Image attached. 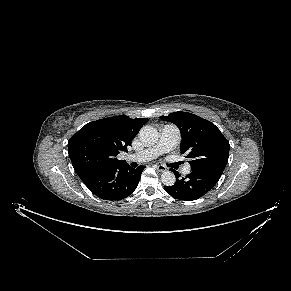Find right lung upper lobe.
I'll use <instances>...</instances> for the list:
<instances>
[{
  "mask_svg": "<svg viewBox=\"0 0 291 291\" xmlns=\"http://www.w3.org/2000/svg\"><path fill=\"white\" fill-rule=\"evenodd\" d=\"M147 118L131 119L120 115L90 122L68 141V153L79 175L93 167L125 164L117 159L120 151H127L132 139Z\"/></svg>",
  "mask_w": 291,
  "mask_h": 291,
  "instance_id": "cb5924a9",
  "label": "right lung upper lobe"
}]
</instances>
